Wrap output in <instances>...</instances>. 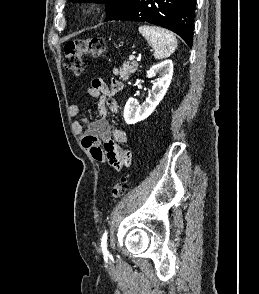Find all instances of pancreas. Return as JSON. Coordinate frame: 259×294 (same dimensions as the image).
<instances>
[{
  "label": "pancreas",
  "instance_id": "pancreas-1",
  "mask_svg": "<svg viewBox=\"0 0 259 294\" xmlns=\"http://www.w3.org/2000/svg\"><path fill=\"white\" fill-rule=\"evenodd\" d=\"M137 66V62H126L119 69L114 68L113 74L119 75L120 80L127 81L130 78V76L136 72Z\"/></svg>",
  "mask_w": 259,
  "mask_h": 294
}]
</instances>
